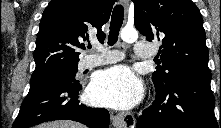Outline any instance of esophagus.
<instances>
[{"instance_id":"obj_1","label":"esophagus","mask_w":221,"mask_h":128,"mask_svg":"<svg viewBox=\"0 0 221 128\" xmlns=\"http://www.w3.org/2000/svg\"><path fill=\"white\" fill-rule=\"evenodd\" d=\"M125 11L128 10L129 0H121ZM113 125L117 128H134L135 118L130 112H119L112 115Z\"/></svg>"}]
</instances>
